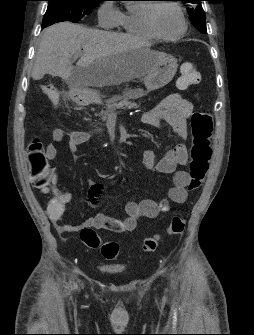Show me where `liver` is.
I'll list each match as a JSON object with an SVG mask.
<instances>
[{"instance_id": "liver-1", "label": "liver", "mask_w": 254, "mask_h": 335, "mask_svg": "<svg viewBox=\"0 0 254 335\" xmlns=\"http://www.w3.org/2000/svg\"><path fill=\"white\" fill-rule=\"evenodd\" d=\"M76 57L79 60L74 67L71 60ZM154 61L149 44L137 37L61 22L45 29L32 75L35 79L45 74L58 76L85 89L143 77Z\"/></svg>"}]
</instances>
